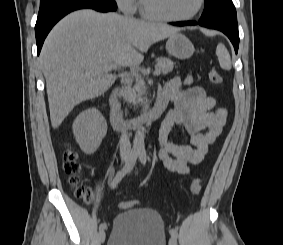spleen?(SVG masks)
Returning a JSON list of instances; mask_svg holds the SVG:
<instances>
[{
	"mask_svg": "<svg viewBox=\"0 0 283 245\" xmlns=\"http://www.w3.org/2000/svg\"><path fill=\"white\" fill-rule=\"evenodd\" d=\"M216 55L218 56V61H219L221 68L225 70H230L231 69L230 54L223 44L221 43L218 44L216 48Z\"/></svg>",
	"mask_w": 283,
	"mask_h": 245,
	"instance_id": "1",
	"label": "spleen"
}]
</instances>
